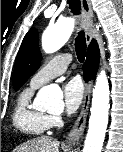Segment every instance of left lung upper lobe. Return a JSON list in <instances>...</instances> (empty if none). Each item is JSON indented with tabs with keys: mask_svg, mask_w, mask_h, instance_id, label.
Listing matches in <instances>:
<instances>
[{
	"mask_svg": "<svg viewBox=\"0 0 123 152\" xmlns=\"http://www.w3.org/2000/svg\"><path fill=\"white\" fill-rule=\"evenodd\" d=\"M41 59L38 33L31 28L23 39L14 65L13 86L16 91L38 70Z\"/></svg>",
	"mask_w": 123,
	"mask_h": 152,
	"instance_id": "1",
	"label": "left lung upper lobe"
}]
</instances>
